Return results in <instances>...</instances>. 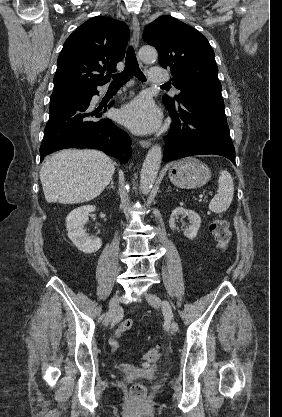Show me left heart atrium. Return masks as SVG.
<instances>
[{"label": "left heart atrium", "mask_w": 282, "mask_h": 417, "mask_svg": "<svg viewBox=\"0 0 282 417\" xmlns=\"http://www.w3.org/2000/svg\"><path fill=\"white\" fill-rule=\"evenodd\" d=\"M121 118L135 130L150 131L158 127L160 113L149 98L139 97L122 110Z\"/></svg>", "instance_id": "1"}]
</instances>
